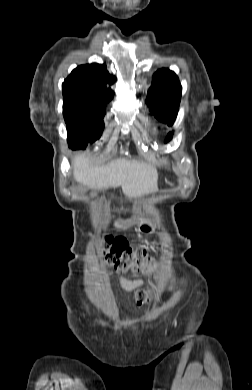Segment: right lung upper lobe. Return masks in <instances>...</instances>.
<instances>
[{"instance_id":"cb5924a9","label":"right lung upper lobe","mask_w":252,"mask_h":390,"mask_svg":"<svg viewBox=\"0 0 252 390\" xmlns=\"http://www.w3.org/2000/svg\"><path fill=\"white\" fill-rule=\"evenodd\" d=\"M115 82L105 64H86L78 66L62 84L63 109L94 107L105 108L114 95L106 87Z\"/></svg>"}]
</instances>
